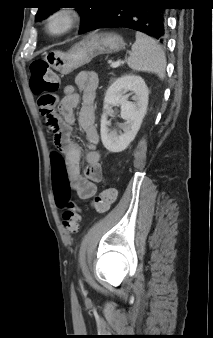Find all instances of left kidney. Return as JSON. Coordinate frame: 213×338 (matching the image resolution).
Listing matches in <instances>:
<instances>
[{"label": "left kidney", "mask_w": 213, "mask_h": 338, "mask_svg": "<svg viewBox=\"0 0 213 338\" xmlns=\"http://www.w3.org/2000/svg\"><path fill=\"white\" fill-rule=\"evenodd\" d=\"M128 91L134 93L128 101L125 95ZM149 91L142 77L124 75L117 78L107 89L104 98L103 114L101 116V140L104 147L112 153L125 150L137 135L147 111ZM121 105V118L125 120L122 126L124 133L118 134L108 128L107 109L109 105Z\"/></svg>", "instance_id": "1"}]
</instances>
